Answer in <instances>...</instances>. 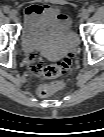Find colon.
<instances>
[{
  "mask_svg": "<svg viewBox=\"0 0 104 137\" xmlns=\"http://www.w3.org/2000/svg\"><path fill=\"white\" fill-rule=\"evenodd\" d=\"M29 60L31 69L45 78H56L66 72L72 65L71 57H66L56 64H47L34 52L29 54ZM55 90L56 87L54 85L42 84L38 88V94L41 97H48L51 96Z\"/></svg>",
  "mask_w": 104,
  "mask_h": 137,
  "instance_id": "colon-1",
  "label": "colon"
}]
</instances>
